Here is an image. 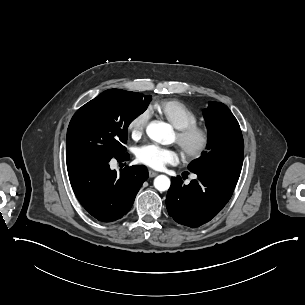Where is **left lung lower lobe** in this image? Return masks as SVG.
Masks as SVG:
<instances>
[{"label":"left lung lower lobe","mask_w":305,"mask_h":305,"mask_svg":"<svg viewBox=\"0 0 305 305\" xmlns=\"http://www.w3.org/2000/svg\"><path fill=\"white\" fill-rule=\"evenodd\" d=\"M190 171L197 174L198 179L189 185H184L180 176L171 179L166 206L177 223L196 228L214 218L227 204L241 170L204 168Z\"/></svg>","instance_id":"left-lung-lower-lobe-1"}]
</instances>
